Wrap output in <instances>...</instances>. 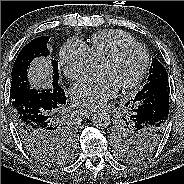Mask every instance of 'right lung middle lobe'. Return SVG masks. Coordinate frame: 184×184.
Wrapping results in <instances>:
<instances>
[{"mask_svg": "<svg viewBox=\"0 0 184 184\" xmlns=\"http://www.w3.org/2000/svg\"><path fill=\"white\" fill-rule=\"evenodd\" d=\"M49 37L41 36L33 39L25 45L18 54L13 69L11 82V99L21 95H48L52 89H31L28 82L27 70L31 61L39 56L47 57L50 54L47 44ZM53 65V88L58 87V63L52 60ZM55 127L53 138L46 144L38 147H27L29 152L44 164H56L62 160L66 152L74 147L75 133L69 123L64 121H52Z\"/></svg>", "mask_w": 184, "mask_h": 184, "instance_id": "right-lung-middle-lobe-1", "label": "right lung middle lobe"}]
</instances>
